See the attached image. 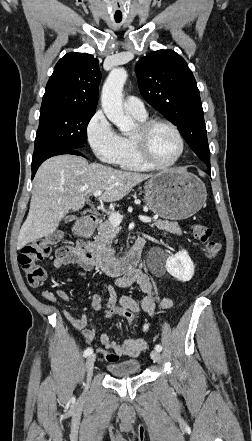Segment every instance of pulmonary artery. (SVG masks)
I'll list each match as a JSON object with an SVG mask.
<instances>
[{
	"mask_svg": "<svg viewBox=\"0 0 252 441\" xmlns=\"http://www.w3.org/2000/svg\"><path fill=\"white\" fill-rule=\"evenodd\" d=\"M126 112L133 116L145 117L147 115L143 102L134 96H128L123 103Z\"/></svg>",
	"mask_w": 252,
	"mask_h": 441,
	"instance_id": "pulmonary-artery-1",
	"label": "pulmonary artery"
}]
</instances>
